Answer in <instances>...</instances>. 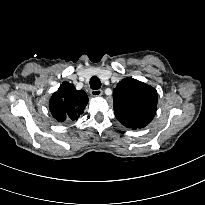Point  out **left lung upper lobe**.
Here are the masks:
<instances>
[{
	"mask_svg": "<svg viewBox=\"0 0 205 205\" xmlns=\"http://www.w3.org/2000/svg\"><path fill=\"white\" fill-rule=\"evenodd\" d=\"M113 100L115 116L127 128H143L155 116L156 89L136 79L120 81L114 89Z\"/></svg>",
	"mask_w": 205,
	"mask_h": 205,
	"instance_id": "obj_1",
	"label": "left lung upper lobe"
}]
</instances>
